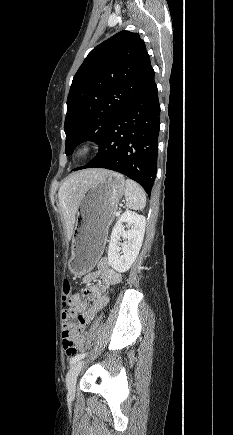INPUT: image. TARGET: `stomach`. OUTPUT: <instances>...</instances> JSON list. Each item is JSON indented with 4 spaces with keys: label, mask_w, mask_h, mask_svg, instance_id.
I'll return each mask as SVG.
<instances>
[{
    "label": "stomach",
    "mask_w": 233,
    "mask_h": 435,
    "mask_svg": "<svg viewBox=\"0 0 233 435\" xmlns=\"http://www.w3.org/2000/svg\"><path fill=\"white\" fill-rule=\"evenodd\" d=\"M125 193L124 176L109 171L86 190L77 210L69 269L75 276L91 271L101 256L109 225Z\"/></svg>",
    "instance_id": "stomach-1"
}]
</instances>
